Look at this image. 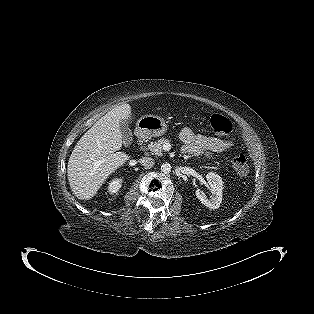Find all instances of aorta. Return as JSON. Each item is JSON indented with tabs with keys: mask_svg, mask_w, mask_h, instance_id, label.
<instances>
[{
	"mask_svg": "<svg viewBox=\"0 0 314 314\" xmlns=\"http://www.w3.org/2000/svg\"><path fill=\"white\" fill-rule=\"evenodd\" d=\"M161 171L165 174L170 173L171 172V165L169 163H163L161 165Z\"/></svg>",
	"mask_w": 314,
	"mask_h": 314,
	"instance_id": "762f6f07",
	"label": "aorta"
}]
</instances>
